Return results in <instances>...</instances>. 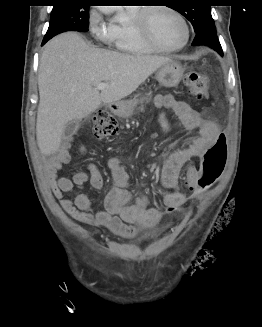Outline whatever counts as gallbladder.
I'll return each mask as SVG.
<instances>
[{
  "label": "gallbladder",
  "mask_w": 262,
  "mask_h": 327,
  "mask_svg": "<svg viewBox=\"0 0 262 327\" xmlns=\"http://www.w3.org/2000/svg\"><path fill=\"white\" fill-rule=\"evenodd\" d=\"M79 129V122L77 120L68 122L64 129V136L69 138L73 136Z\"/></svg>",
  "instance_id": "bac80fb5"
}]
</instances>
